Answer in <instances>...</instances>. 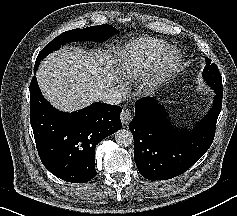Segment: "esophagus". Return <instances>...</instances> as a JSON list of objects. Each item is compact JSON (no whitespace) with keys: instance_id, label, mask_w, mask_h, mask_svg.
Listing matches in <instances>:
<instances>
[{"instance_id":"obj_1","label":"esophagus","mask_w":237,"mask_h":216,"mask_svg":"<svg viewBox=\"0 0 237 216\" xmlns=\"http://www.w3.org/2000/svg\"><path fill=\"white\" fill-rule=\"evenodd\" d=\"M120 119L123 125H127L132 119V113L128 108H123L120 115Z\"/></svg>"}]
</instances>
